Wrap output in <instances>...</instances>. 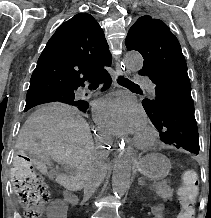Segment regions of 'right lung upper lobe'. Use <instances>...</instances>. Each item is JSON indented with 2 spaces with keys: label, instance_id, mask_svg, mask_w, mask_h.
<instances>
[{
  "label": "right lung upper lobe",
  "instance_id": "obj_1",
  "mask_svg": "<svg viewBox=\"0 0 211 218\" xmlns=\"http://www.w3.org/2000/svg\"><path fill=\"white\" fill-rule=\"evenodd\" d=\"M112 56L103 30L90 14L65 21L49 39L33 71L26 102L70 91L110 65Z\"/></svg>",
  "mask_w": 211,
  "mask_h": 218
}]
</instances>
